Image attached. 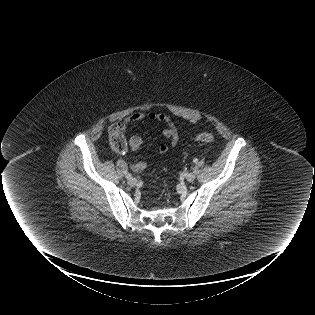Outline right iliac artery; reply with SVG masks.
I'll use <instances>...</instances> for the list:
<instances>
[{
    "instance_id": "82829eb1",
    "label": "right iliac artery",
    "mask_w": 315,
    "mask_h": 315,
    "mask_svg": "<svg viewBox=\"0 0 315 315\" xmlns=\"http://www.w3.org/2000/svg\"><path fill=\"white\" fill-rule=\"evenodd\" d=\"M126 178H127V179L132 178L131 174H126Z\"/></svg>"
}]
</instances>
